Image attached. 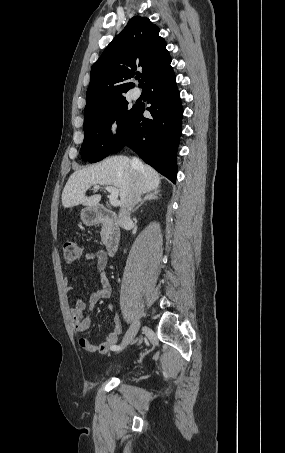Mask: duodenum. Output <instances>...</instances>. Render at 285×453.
<instances>
[{
	"label": "duodenum",
	"instance_id": "duodenum-1",
	"mask_svg": "<svg viewBox=\"0 0 285 453\" xmlns=\"http://www.w3.org/2000/svg\"><path fill=\"white\" fill-rule=\"evenodd\" d=\"M92 220L105 227L103 243L109 255H113L120 243L119 220L115 212L104 206H96L92 212Z\"/></svg>",
	"mask_w": 285,
	"mask_h": 453
}]
</instances>
